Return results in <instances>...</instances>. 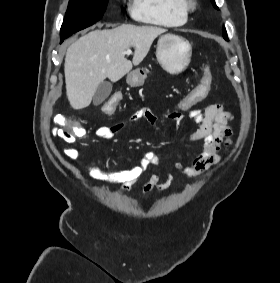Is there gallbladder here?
Here are the masks:
<instances>
[{"instance_id": "gallbladder-1", "label": "gallbladder", "mask_w": 280, "mask_h": 283, "mask_svg": "<svg viewBox=\"0 0 280 283\" xmlns=\"http://www.w3.org/2000/svg\"><path fill=\"white\" fill-rule=\"evenodd\" d=\"M112 91V84L109 81H103L100 83L93 96V104L95 106L100 105L110 95Z\"/></svg>"}]
</instances>
